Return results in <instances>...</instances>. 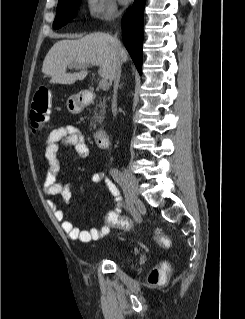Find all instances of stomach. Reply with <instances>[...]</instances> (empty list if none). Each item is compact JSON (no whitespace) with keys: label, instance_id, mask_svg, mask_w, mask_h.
I'll use <instances>...</instances> for the list:
<instances>
[{"label":"stomach","instance_id":"stomach-1","mask_svg":"<svg viewBox=\"0 0 245 319\" xmlns=\"http://www.w3.org/2000/svg\"><path fill=\"white\" fill-rule=\"evenodd\" d=\"M67 110L72 114L81 113L85 107L79 94L72 95L67 99L66 102Z\"/></svg>","mask_w":245,"mask_h":319}]
</instances>
